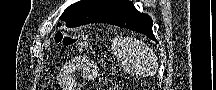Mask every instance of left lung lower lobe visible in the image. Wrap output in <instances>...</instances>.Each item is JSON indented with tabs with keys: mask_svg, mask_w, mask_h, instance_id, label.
Listing matches in <instances>:
<instances>
[{
	"mask_svg": "<svg viewBox=\"0 0 216 90\" xmlns=\"http://www.w3.org/2000/svg\"><path fill=\"white\" fill-rule=\"evenodd\" d=\"M94 23H107L129 28L157 41L152 32V19L147 14L140 13L131 2L113 10Z\"/></svg>",
	"mask_w": 216,
	"mask_h": 90,
	"instance_id": "obj_1",
	"label": "left lung lower lobe"
}]
</instances>
